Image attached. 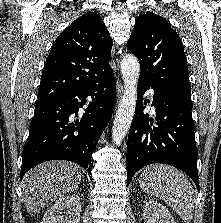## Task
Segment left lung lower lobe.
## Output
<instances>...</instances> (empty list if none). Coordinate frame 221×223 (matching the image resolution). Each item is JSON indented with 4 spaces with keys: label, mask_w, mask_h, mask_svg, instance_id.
<instances>
[{
    "label": "left lung lower lobe",
    "mask_w": 221,
    "mask_h": 223,
    "mask_svg": "<svg viewBox=\"0 0 221 223\" xmlns=\"http://www.w3.org/2000/svg\"><path fill=\"white\" fill-rule=\"evenodd\" d=\"M150 88L154 89V125V120L149 118L148 114H143L145 107L142 104V95ZM137 101L127 143V186L142 167L163 163L184 171L199 189L191 100L156 89L149 83L139 80Z\"/></svg>",
    "instance_id": "obj_1"
}]
</instances>
